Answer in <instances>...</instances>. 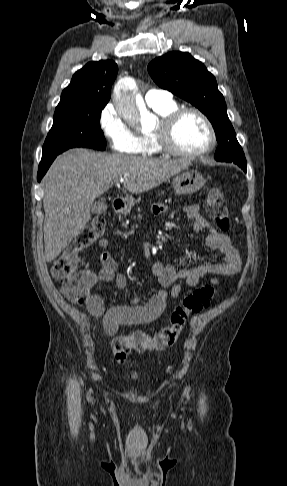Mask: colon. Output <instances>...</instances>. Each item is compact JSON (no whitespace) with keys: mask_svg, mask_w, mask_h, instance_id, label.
<instances>
[{"mask_svg":"<svg viewBox=\"0 0 287 486\" xmlns=\"http://www.w3.org/2000/svg\"><path fill=\"white\" fill-rule=\"evenodd\" d=\"M207 213L216 228L225 233L229 230L230 219L226 200L218 188H211L207 196ZM105 220L93 218L76 236L75 241L53 262L51 274L61 281L63 295L73 303L86 304L90 289L94 284V274L78 269L79 252L95 242L104 232ZM214 288L203 285L187 294L182 303L171 313L167 326L154 334L136 331L113 339L112 352L119 363H126L132 352L162 351L172 347L182 333L187 320L193 314L207 308L214 298Z\"/></svg>","mask_w":287,"mask_h":486,"instance_id":"colon-1","label":"colon"}]
</instances>
